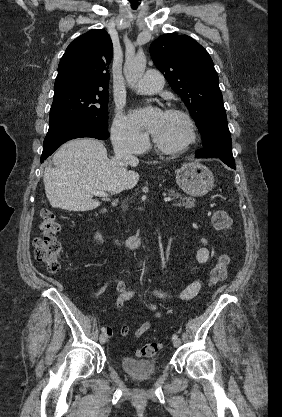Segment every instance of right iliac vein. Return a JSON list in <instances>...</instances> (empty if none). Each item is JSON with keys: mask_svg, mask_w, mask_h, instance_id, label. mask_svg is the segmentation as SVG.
Wrapping results in <instances>:
<instances>
[{"mask_svg": "<svg viewBox=\"0 0 282 417\" xmlns=\"http://www.w3.org/2000/svg\"><path fill=\"white\" fill-rule=\"evenodd\" d=\"M99 341H100V343H105L106 341H107V335H106V333H102L101 335H100V337H99Z\"/></svg>", "mask_w": 282, "mask_h": 417, "instance_id": "obj_1", "label": "right iliac vein"}]
</instances>
